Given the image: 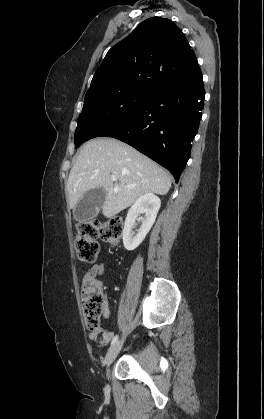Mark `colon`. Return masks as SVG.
I'll return each mask as SVG.
<instances>
[{
  "label": "colon",
  "mask_w": 264,
  "mask_h": 419,
  "mask_svg": "<svg viewBox=\"0 0 264 419\" xmlns=\"http://www.w3.org/2000/svg\"><path fill=\"white\" fill-rule=\"evenodd\" d=\"M77 236L74 242L79 260L92 263L99 254L97 238L115 244L123 232L122 220L118 217L107 221H84L77 225ZM82 309L86 326L91 331L99 332L100 319L106 307V296L101 283L96 277L85 275L81 290Z\"/></svg>",
  "instance_id": "obj_1"
}]
</instances>
